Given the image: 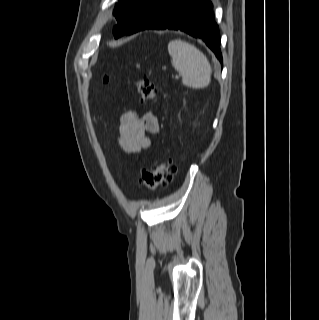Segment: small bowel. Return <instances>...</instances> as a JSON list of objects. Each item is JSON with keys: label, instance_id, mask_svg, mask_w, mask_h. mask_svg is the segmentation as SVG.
I'll return each mask as SVG.
<instances>
[{"label": "small bowel", "instance_id": "obj_1", "mask_svg": "<svg viewBox=\"0 0 319 320\" xmlns=\"http://www.w3.org/2000/svg\"><path fill=\"white\" fill-rule=\"evenodd\" d=\"M158 132L156 115L151 112L139 115L137 111H129L120 118L117 142L125 153H138L150 147V136Z\"/></svg>", "mask_w": 319, "mask_h": 320}]
</instances>
